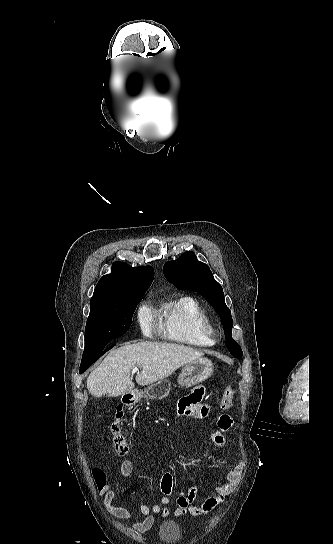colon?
Returning <instances> with one entry per match:
<instances>
[{"label":"colon","instance_id":"colon-1","mask_svg":"<svg viewBox=\"0 0 333 544\" xmlns=\"http://www.w3.org/2000/svg\"><path fill=\"white\" fill-rule=\"evenodd\" d=\"M234 390L227 386L219 402L220 411H227L233 404ZM124 419L121 409L116 411V414L110 425L111 439L116 453L120 456H124L129 453L130 445L124 435ZM93 477L98 487L105 484V474L101 469L93 470Z\"/></svg>","mask_w":333,"mask_h":544}]
</instances>
